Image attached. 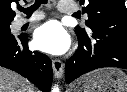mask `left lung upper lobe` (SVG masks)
Here are the masks:
<instances>
[{"label": "left lung upper lobe", "mask_w": 127, "mask_h": 92, "mask_svg": "<svg viewBox=\"0 0 127 92\" xmlns=\"http://www.w3.org/2000/svg\"><path fill=\"white\" fill-rule=\"evenodd\" d=\"M83 13L88 14L87 29L75 27L77 35L87 34L100 26L127 27V9L124 0H79Z\"/></svg>", "instance_id": "5c2ea615"}]
</instances>
